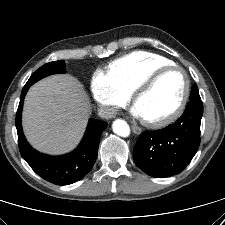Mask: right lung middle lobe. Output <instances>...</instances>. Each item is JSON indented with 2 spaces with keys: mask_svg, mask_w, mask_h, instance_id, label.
Returning a JSON list of instances; mask_svg holds the SVG:
<instances>
[{
  "mask_svg": "<svg viewBox=\"0 0 225 225\" xmlns=\"http://www.w3.org/2000/svg\"><path fill=\"white\" fill-rule=\"evenodd\" d=\"M64 72V61L59 60V61H53L50 63H47L40 67L36 72L32 74V76L28 80V84L32 85L36 81L51 75V74H56V73H63Z\"/></svg>",
  "mask_w": 225,
  "mask_h": 225,
  "instance_id": "obj_1",
  "label": "right lung middle lobe"
}]
</instances>
